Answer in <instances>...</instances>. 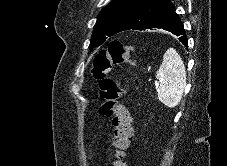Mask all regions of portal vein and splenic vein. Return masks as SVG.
Instances as JSON below:
<instances>
[{
  "instance_id": "1",
  "label": "portal vein and splenic vein",
  "mask_w": 227,
  "mask_h": 166,
  "mask_svg": "<svg viewBox=\"0 0 227 166\" xmlns=\"http://www.w3.org/2000/svg\"><path fill=\"white\" fill-rule=\"evenodd\" d=\"M155 85H156V86H158V85H159V83H158V82H156V83H155Z\"/></svg>"
}]
</instances>
